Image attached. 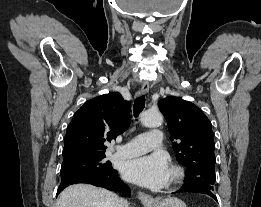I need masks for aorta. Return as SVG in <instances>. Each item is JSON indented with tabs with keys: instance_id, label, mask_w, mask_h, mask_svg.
<instances>
[{
	"instance_id": "762f6f07",
	"label": "aorta",
	"mask_w": 261,
	"mask_h": 207,
	"mask_svg": "<svg viewBox=\"0 0 261 207\" xmlns=\"http://www.w3.org/2000/svg\"><path fill=\"white\" fill-rule=\"evenodd\" d=\"M141 122L146 127H159L163 122V116L159 111H146L141 115Z\"/></svg>"
}]
</instances>
